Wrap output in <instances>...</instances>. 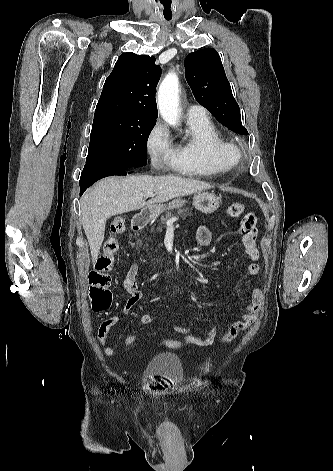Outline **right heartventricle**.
I'll return each instance as SVG.
<instances>
[{"label": "right heart ventricle", "mask_w": 333, "mask_h": 471, "mask_svg": "<svg viewBox=\"0 0 333 471\" xmlns=\"http://www.w3.org/2000/svg\"><path fill=\"white\" fill-rule=\"evenodd\" d=\"M230 143L206 114L188 119L184 137L172 147L173 169L188 176H214L230 170L234 164Z\"/></svg>", "instance_id": "1"}]
</instances>
